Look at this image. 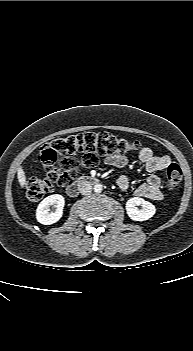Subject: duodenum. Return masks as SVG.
Instances as JSON below:
<instances>
[{
  "label": "duodenum",
  "instance_id": "obj_1",
  "mask_svg": "<svg viewBox=\"0 0 193 351\" xmlns=\"http://www.w3.org/2000/svg\"><path fill=\"white\" fill-rule=\"evenodd\" d=\"M96 182H97V179L95 177L81 176L66 189V193L68 196L74 197L78 194V191L81 187H83L87 184H93Z\"/></svg>",
  "mask_w": 193,
  "mask_h": 351
}]
</instances>
